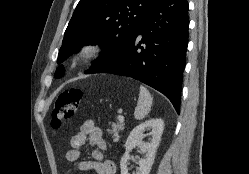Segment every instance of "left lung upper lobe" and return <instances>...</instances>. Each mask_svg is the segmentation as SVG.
<instances>
[{"label": "left lung upper lobe", "instance_id": "5c2ea615", "mask_svg": "<svg viewBox=\"0 0 249 174\" xmlns=\"http://www.w3.org/2000/svg\"><path fill=\"white\" fill-rule=\"evenodd\" d=\"M156 0H80L65 31L57 63L65 61L83 45L99 43L102 52L92 69H106L116 63L139 32ZM60 65L55 77L64 75Z\"/></svg>", "mask_w": 249, "mask_h": 174}]
</instances>
